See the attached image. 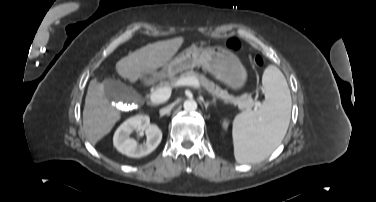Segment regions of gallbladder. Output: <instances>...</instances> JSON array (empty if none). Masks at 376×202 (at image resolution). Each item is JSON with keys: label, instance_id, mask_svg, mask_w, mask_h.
<instances>
[{"label": "gallbladder", "instance_id": "obj_1", "mask_svg": "<svg viewBox=\"0 0 376 202\" xmlns=\"http://www.w3.org/2000/svg\"><path fill=\"white\" fill-rule=\"evenodd\" d=\"M103 85L104 97L111 102L132 103L137 99V92L119 80L105 79Z\"/></svg>", "mask_w": 376, "mask_h": 202}]
</instances>
